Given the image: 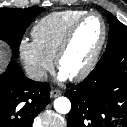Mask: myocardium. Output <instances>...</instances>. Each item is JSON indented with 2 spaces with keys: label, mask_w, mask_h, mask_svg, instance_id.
<instances>
[{
  "label": "myocardium",
  "mask_w": 127,
  "mask_h": 127,
  "mask_svg": "<svg viewBox=\"0 0 127 127\" xmlns=\"http://www.w3.org/2000/svg\"><path fill=\"white\" fill-rule=\"evenodd\" d=\"M92 16L98 17L101 21L102 28H103L102 37H101V40H100L98 47L94 51L92 57L87 62V64L80 71L69 76V78L71 80H74V81H79V80H82L85 77H87L91 73V71L94 69V67L96 66V64L99 60V57H100V55L104 49L106 39H107V24H106L105 19L97 12H86V13H84L81 17H79L70 26V28L66 32V34H65L57 52H56V55H55V65L61 71L62 60H63L64 56L66 55L78 28L86 19H88L89 17H92Z\"/></svg>",
  "instance_id": "myocardium-1"
}]
</instances>
